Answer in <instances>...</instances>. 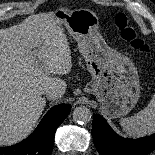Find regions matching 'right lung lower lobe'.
<instances>
[{
    "mask_svg": "<svg viewBox=\"0 0 155 155\" xmlns=\"http://www.w3.org/2000/svg\"><path fill=\"white\" fill-rule=\"evenodd\" d=\"M70 109L71 106L68 104L52 107L28 138L9 147H0V155H50L55 131L67 117Z\"/></svg>",
    "mask_w": 155,
    "mask_h": 155,
    "instance_id": "98d812e1",
    "label": "right lung lower lobe"
}]
</instances>
